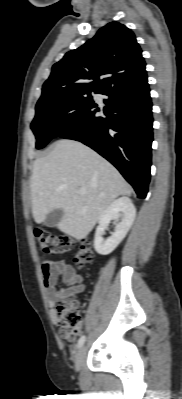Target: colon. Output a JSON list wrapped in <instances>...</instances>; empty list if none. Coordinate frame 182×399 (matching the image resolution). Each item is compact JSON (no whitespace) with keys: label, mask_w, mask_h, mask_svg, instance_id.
I'll list each match as a JSON object with an SVG mask.
<instances>
[{"label":"colon","mask_w":182,"mask_h":399,"mask_svg":"<svg viewBox=\"0 0 182 399\" xmlns=\"http://www.w3.org/2000/svg\"><path fill=\"white\" fill-rule=\"evenodd\" d=\"M34 236L43 252L52 255H63L71 251L76 241L68 235H54L43 228H35ZM73 261L78 267H85L92 263L94 253L88 240H79ZM61 332L69 339H74L82 316L77 301H62L56 308Z\"/></svg>","instance_id":"colon-1"}]
</instances>
